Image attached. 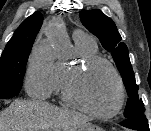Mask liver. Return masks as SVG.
I'll list each match as a JSON object with an SVG mask.
<instances>
[{"label": "liver", "mask_w": 151, "mask_h": 131, "mask_svg": "<svg viewBox=\"0 0 151 131\" xmlns=\"http://www.w3.org/2000/svg\"><path fill=\"white\" fill-rule=\"evenodd\" d=\"M89 118L42 101L15 100L0 112V131H77Z\"/></svg>", "instance_id": "6515ba94"}]
</instances>
